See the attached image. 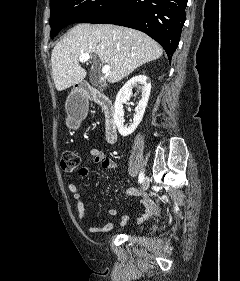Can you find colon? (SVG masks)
<instances>
[{"mask_svg": "<svg viewBox=\"0 0 240 281\" xmlns=\"http://www.w3.org/2000/svg\"><path fill=\"white\" fill-rule=\"evenodd\" d=\"M81 163L79 154L74 150H67L61 158V167L64 171L72 172L76 170Z\"/></svg>", "mask_w": 240, "mask_h": 281, "instance_id": "colon-1", "label": "colon"}]
</instances>
